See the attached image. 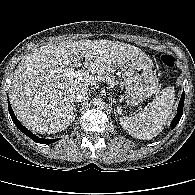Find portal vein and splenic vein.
<instances>
[{"mask_svg":"<svg viewBox=\"0 0 195 195\" xmlns=\"http://www.w3.org/2000/svg\"><path fill=\"white\" fill-rule=\"evenodd\" d=\"M65 72L72 77L78 78L79 80H85L86 82L91 83V85L96 84V81L84 70L81 71L65 70Z\"/></svg>","mask_w":195,"mask_h":195,"instance_id":"18ae733b","label":"portal vein and splenic vein"}]
</instances>
